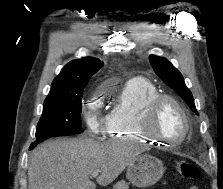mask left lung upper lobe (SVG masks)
Wrapping results in <instances>:
<instances>
[{
	"label": "left lung upper lobe",
	"mask_w": 223,
	"mask_h": 189,
	"mask_svg": "<svg viewBox=\"0 0 223 189\" xmlns=\"http://www.w3.org/2000/svg\"><path fill=\"white\" fill-rule=\"evenodd\" d=\"M150 64L154 72L177 92L188 106L197 114L193 96L190 90L186 87L181 73L165 58L151 55L149 57Z\"/></svg>",
	"instance_id": "1"
}]
</instances>
